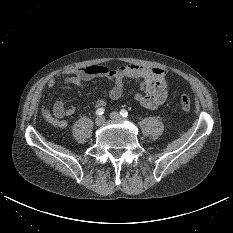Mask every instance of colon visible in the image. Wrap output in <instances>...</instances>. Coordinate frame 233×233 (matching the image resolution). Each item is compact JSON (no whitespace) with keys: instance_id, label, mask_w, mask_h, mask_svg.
<instances>
[{"instance_id":"obj_1","label":"colon","mask_w":233,"mask_h":233,"mask_svg":"<svg viewBox=\"0 0 233 233\" xmlns=\"http://www.w3.org/2000/svg\"><path fill=\"white\" fill-rule=\"evenodd\" d=\"M179 102L185 112H189L191 110V100L187 95H182Z\"/></svg>"}]
</instances>
